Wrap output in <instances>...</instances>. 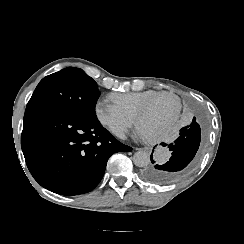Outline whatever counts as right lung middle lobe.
Here are the masks:
<instances>
[{
	"label": "right lung middle lobe",
	"mask_w": 244,
	"mask_h": 244,
	"mask_svg": "<svg viewBox=\"0 0 244 244\" xmlns=\"http://www.w3.org/2000/svg\"><path fill=\"white\" fill-rule=\"evenodd\" d=\"M99 95L97 83L82 69L67 67L43 78L27 107H54L77 116L96 119L95 106Z\"/></svg>",
	"instance_id": "dd1d6c3e"
}]
</instances>
